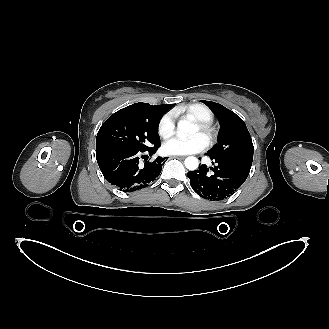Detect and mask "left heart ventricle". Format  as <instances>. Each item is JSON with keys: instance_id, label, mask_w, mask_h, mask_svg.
I'll return each instance as SVG.
<instances>
[{"instance_id": "b2bd125f", "label": "left heart ventricle", "mask_w": 329, "mask_h": 329, "mask_svg": "<svg viewBox=\"0 0 329 329\" xmlns=\"http://www.w3.org/2000/svg\"><path fill=\"white\" fill-rule=\"evenodd\" d=\"M192 135H196V134H201L199 128L195 125L192 132H191ZM202 135V134H201ZM203 136V135H202ZM204 137V136H203ZM205 138V137H204Z\"/></svg>"}]
</instances>
